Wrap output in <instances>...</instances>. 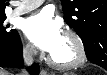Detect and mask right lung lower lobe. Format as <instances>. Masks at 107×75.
Returning <instances> with one entry per match:
<instances>
[{"label":"right lung lower lobe","mask_w":107,"mask_h":75,"mask_svg":"<svg viewBox=\"0 0 107 75\" xmlns=\"http://www.w3.org/2000/svg\"><path fill=\"white\" fill-rule=\"evenodd\" d=\"M22 66V43L19 34L9 41L0 42V67ZM31 75L39 74V65L34 63L30 68Z\"/></svg>","instance_id":"98d812e1"}]
</instances>
